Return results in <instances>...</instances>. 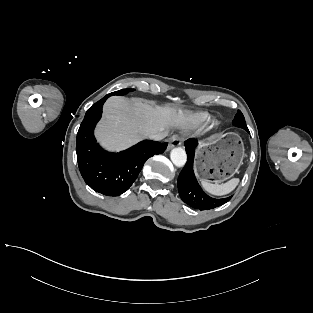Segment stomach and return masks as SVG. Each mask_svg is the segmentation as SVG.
I'll return each mask as SVG.
<instances>
[{"label": "stomach", "mask_w": 313, "mask_h": 313, "mask_svg": "<svg viewBox=\"0 0 313 313\" xmlns=\"http://www.w3.org/2000/svg\"><path fill=\"white\" fill-rule=\"evenodd\" d=\"M244 146L237 134H224L201 142L196 151V172L202 180L221 183L242 164Z\"/></svg>", "instance_id": "stomach-1"}]
</instances>
